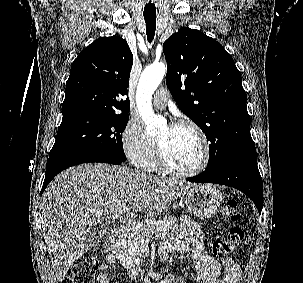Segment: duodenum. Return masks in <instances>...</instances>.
Returning <instances> with one entry per match:
<instances>
[{
	"mask_svg": "<svg viewBox=\"0 0 303 283\" xmlns=\"http://www.w3.org/2000/svg\"><path fill=\"white\" fill-rule=\"evenodd\" d=\"M122 234V227L119 226L117 228H115L108 236V246L109 248H112L117 239L120 237V235Z\"/></svg>",
	"mask_w": 303,
	"mask_h": 283,
	"instance_id": "1",
	"label": "duodenum"
}]
</instances>
